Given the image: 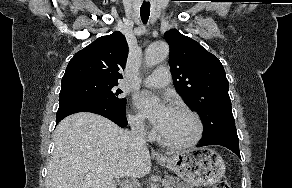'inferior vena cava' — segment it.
<instances>
[{"label":"inferior vena cava","mask_w":292,"mask_h":188,"mask_svg":"<svg viewBox=\"0 0 292 188\" xmlns=\"http://www.w3.org/2000/svg\"><path fill=\"white\" fill-rule=\"evenodd\" d=\"M131 131L127 132V140L133 147L145 146L146 132L144 129L143 121L140 119L130 121ZM121 188H133L128 179L124 180Z\"/></svg>","instance_id":"602c4592"}]
</instances>
